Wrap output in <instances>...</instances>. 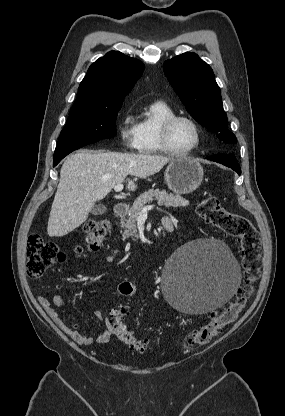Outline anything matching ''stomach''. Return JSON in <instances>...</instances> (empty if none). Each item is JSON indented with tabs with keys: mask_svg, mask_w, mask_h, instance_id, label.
Segmentation results:
<instances>
[{
	"mask_svg": "<svg viewBox=\"0 0 285 416\" xmlns=\"http://www.w3.org/2000/svg\"><path fill=\"white\" fill-rule=\"evenodd\" d=\"M203 176V168L194 158H176V160H172L164 174L169 190L177 196L195 192L199 188Z\"/></svg>",
	"mask_w": 285,
	"mask_h": 416,
	"instance_id": "0dacf381",
	"label": "stomach"
}]
</instances>
